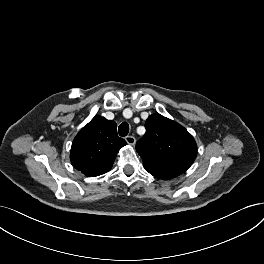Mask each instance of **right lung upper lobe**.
Returning <instances> with one entry per match:
<instances>
[{
    "label": "right lung upper lobe",
    "mask_w": 264,
    "mask_h": 264,
    "mask_svg": "<svg viewBox=\"0 0 264 264\" xmlns=\"http://www.w3.org/2000/svg\"><path fill=\"white\" fill-rule=\"evenodd\" d=\"M126 144L117 135L114 121L95 116L74 138L71 163L86 176L104 174L112 168L117 153Z\"/></svg>",
    "instance_id": "obj_1"
}]
</instances>
